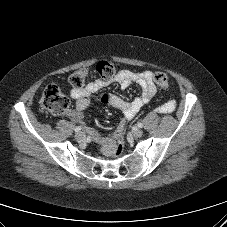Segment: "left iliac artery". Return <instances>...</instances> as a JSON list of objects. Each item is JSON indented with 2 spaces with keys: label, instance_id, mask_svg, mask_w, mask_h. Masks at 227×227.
Instances as JSON below:
<instances>
[{
  "label": "left iliac artery",
  "instance_id": "1",
  "mask_svg": "<svg viewBox=\"0 0 227 227\" xmlns=\"http://www.w3.org/2000/svg\"><path fill=\"white\" fill-rule=\"evenodd\" d=\"M137 126H138L139 128H142V127H143V124H142L141 122H139V123L137 124Z\"/></svg>",
  "mask_w": 227,
  "mask_h": 227
}]
</instances>
